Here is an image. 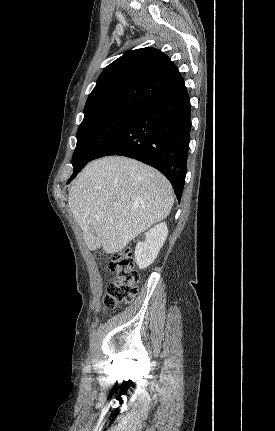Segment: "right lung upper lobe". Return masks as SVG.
<instances>
[{"instance_id":"right-lung-upper-lobe-1","label":"right lung upper lobe","mask_w":275,"mask_h":431,"mask_svg":"<svg viewBox=\"0 0 275 431\" xmlns=\"http://www.w3.org/2000/svg\"><path fill=\"white\" fill-rule=\"evenodd\" d=\"M183 81L163 52L151 47L127 51L100 74L84 115L114 108L139 109Z\"/></svg>"}]
</instances>
